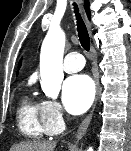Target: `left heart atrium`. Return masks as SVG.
I'll list each match as a JSON object with an SVG mask.
<instances>
[{
  "label": "left heart atrium",
  "instance_id": "1",
  "mask_svg": "<svg viewBox=\"0 0 131 151\" xmlns=\"http://www.w3.org/2000/svg\"><path fill=\"white\" fill-rule=\"evenodd\" d=\"M94 97V83L85 74L69 77L63 84L62 99L66 110L74 115L83 113Z\"/></svg>",
  "mask_w": 131,
  "mask_h": 151
}]
</instances>
